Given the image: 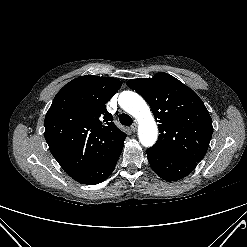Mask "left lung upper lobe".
<instances>
[{
    "mask_svg": "<svg viewBox=\"0 0 247 247\" xmlns=\"http://www.w3.org/2000/svg\"><path fill=\"white\" fill-rule=\"evenodd\" d=\"M128 87L150 105L159 122L154 148L171 156L200 162L211 137L212 119L198 95L173 76L159 72L151 79H132Z\"/></svg>",
    "mask_w": 247,
    "mask_h": 247,
    "instance_id": "1",
    "label": "left lung upper lobe"
}]
</instances>
